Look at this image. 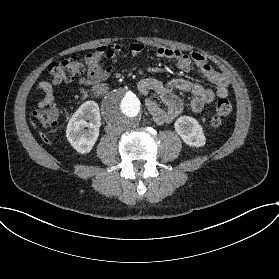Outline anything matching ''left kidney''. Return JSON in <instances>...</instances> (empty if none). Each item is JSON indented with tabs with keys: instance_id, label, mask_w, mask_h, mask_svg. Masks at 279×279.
Listing matches in <instances>:
<instances>
[{
	"instance_id": "obj_1",
	"label": "left kidney",
	"mask_w": 279,
	"mask_h": 279,
	"mask_svg": "<svg viewBox=\"0 0 279 279\" xmlns=\"http://www.w3.org/2000/svg\"><path fill=\"white\" fill-rule=\"evenodd\" d=\"M174 128L181 139L189 146L202 147L206 138L202 126L190 116H181L175 123Z\"/></svg>"
}]
</instances>
